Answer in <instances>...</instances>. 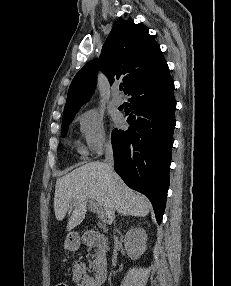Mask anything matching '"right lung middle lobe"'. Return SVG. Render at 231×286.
<instances>
[{
	"mask_svg": "<svg viewBox=\"0 0 231 286\" xmlns=\"http://www.w3.org/2000/svg\"><path fill=\"white\" fill-rule=\"evenodd\" d=\"M76 112H73V113H70V114L63 116V119H62V136L66 135V132L68 130V126L72 122Z\"/></svg>",
	"mask_w": 231,
	"mask_h": 286,
	"instance_id": "dd1d6c3e",
	"label": "right lung middle lobe"
}]
</instances>
